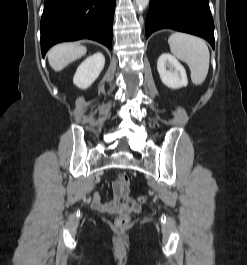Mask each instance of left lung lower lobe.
<instances>
[{"label":"left lung lower lobe","mask_w":247,"mask_h":265,"mask_svg":"<svg viewBox=\"0 0 247 265\" xmlns=\"http://www.w3.org/2000/svg\"><path fill=\"white\" fill-rule=\"evenodd\" d=\"M164 28L200 36L214 48V23L208 0H150L146 37Z\"/></svg>","instance_id":"0a47b994"}]
</instances>
